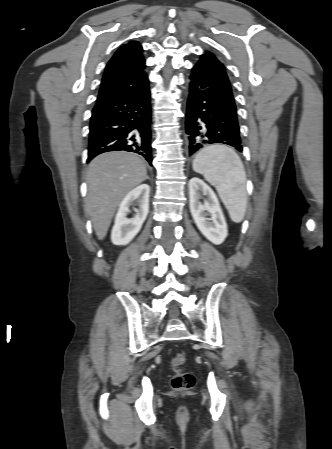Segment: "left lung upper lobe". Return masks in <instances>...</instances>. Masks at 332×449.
Segmentation results:
<instances>
[{
	"instance_id": "left-lung-upper-lobe-1",
	"label": "left lung upper lobe",
	"mask_w": 332,
	"mask_h": 449,
	"mask_svg": "<svg viewBox=\"0 0 332 449\" xmlns=\"http://www.w3.org/2000/svg\"><path fill=\"white\" fill-rule=\"evenodd\" d=\"M198 62L213 64V65L217 66L218 68H220L223 72L226 73L222 63L212 53L206 52L205 54H203L201 56V58Z\"/></svg>"
}]
</instances>
